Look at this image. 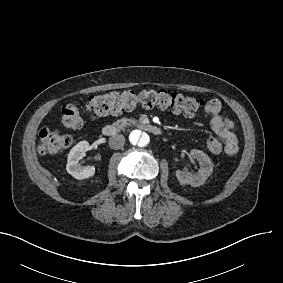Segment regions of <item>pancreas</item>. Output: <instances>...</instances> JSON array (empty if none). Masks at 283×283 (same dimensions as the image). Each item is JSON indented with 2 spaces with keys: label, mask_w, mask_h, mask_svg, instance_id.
<instances>
[{
  "label": "pancreas",
  "mask_w": 283,
  "mask_h": 283,
  "mask_svg": "<svg viewBox=\"0 0 283 283\" xmlns=\"http://www.w3.org/2000/svg\"><path fill=\"white\" fill-rule=\"evenodd\" d=\"M135 123V119H127L124 118L122 120H118L117 122L114 123L115 126H119L120 128H125L127 126H130L131 124Z\"/></svg>",
  "instance_id": "pancreas-1"
}]
</instances>
